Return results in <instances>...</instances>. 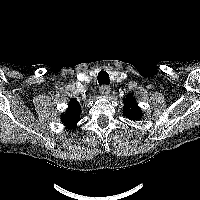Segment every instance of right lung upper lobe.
Segmentation results:
<instances>
[{
  "label": "right lung upper lobe",
  "instance_id": "obj_1",
  "mask_svg": "<svg viewBox=\"0 0 200 200\" xmlns=\"http://www.w3.org/2000/svg\"><path fill=\"white\" fill-rule=\"evenodd\" d=\"M80 104L75 99H72L64 114L61 116L63 124L68 129H74L80 117Z\"/></svg>",
  "mask_w": 200,
  "mask_h": 200
}]
</instances>
